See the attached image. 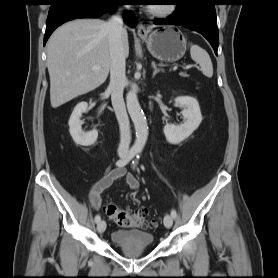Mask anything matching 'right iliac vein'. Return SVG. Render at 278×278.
<instances>
[{
    "label": "right iliac vein",
    "mask_w": 278,
    "mask_h": 278,
    "mask_svg": "<svg viewBox=\"0 0 278 278\" xmlns=\"http://www.w3.org/2000/svg\"><path fill=\"white\" fill-rule=\"evenodd\" d=\"M105 229H106V223H105V221H100V222H98V224H97V230H98V232H99V233H103V232L105 231Z\"/></svg>",
    "instance_id": "1"
}]
</instances>
